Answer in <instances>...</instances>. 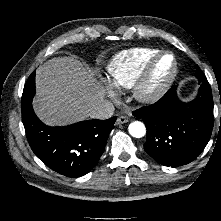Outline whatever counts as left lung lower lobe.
Returning <instances> with one entry per match:
<instances>
[{
    "label": "left lung lower lobe",
    "instance_id": "left-lung-lower-lobe-1",
    "mask_svg": "<svg viewBox=\"0 0 221 221\" xmlns=\"http://www.w3.org/2000/svg\"><path fill=\"white\" fill-rule=\"evenodd\" d=\"M197 97L184 103L173 86L158 102L133 112L147 127L145 151L165 166L193 161L207 145L213 128V99L204 74Z\"/></svg>",
    "mask_w": 221,
    "mask_h": 221
}]
</instances>
